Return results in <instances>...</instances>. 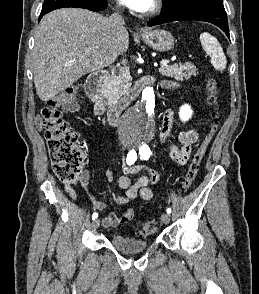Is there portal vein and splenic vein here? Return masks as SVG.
Listing matches in <instances>:
<instances>
[{
  "mask_svg": "<svg viewBox=\"0 0 259 294\" xmlns=\"http://www.w3.org/2000/svg\"><path fill=\"white\" fill-rule=\"evenodd\" d=\"M169 63V60H162L161 62H160V65L161 66H165V65H167Z\"/></svg>",
  "mask_w": 259,
  "mask_h": 294,
  "instance_id": "18ae733b",
  "label": "portal vein and splenic vein"
}]
</instances>
